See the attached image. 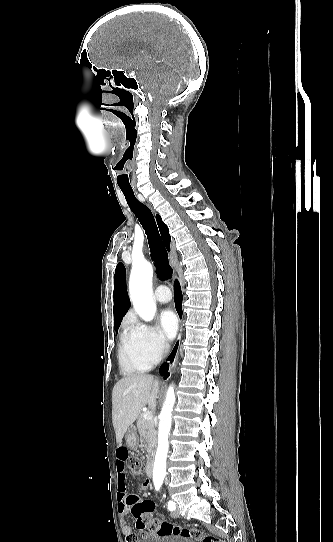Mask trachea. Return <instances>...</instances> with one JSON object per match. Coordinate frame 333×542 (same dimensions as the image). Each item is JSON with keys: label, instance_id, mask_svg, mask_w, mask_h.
Instances as JSON below:
<instances>
[{"label": "trachea", "instance_id": "trachea-1", "mask_svg": "<svg viewBox=\"0 0 333 542\" xmlns=\"http://www.w3.org/2000/svg\"><path fill=\"white\" fill-rule=\"evenodd\" d=\"M130 210L135 214L147 234L151 256L156 266V272L161 280H169L173 270L169 265L167 251L164 247L153 214L146 205L139 202L132 189H121Z\"/></svg>", "mask_w": 333, "mask_h": 542}]
</instances>
